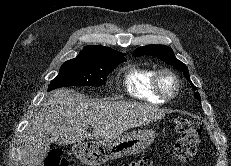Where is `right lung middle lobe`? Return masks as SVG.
Returning <instances> with one entry per match:
<instances>
[{
	"mask_svg": "<svg viewBox=\"0 0 231 166\" xmlns=\"http://www.w3.org/2000/svg\"><path fill=\"white\" fill-rule=\"evenodd\" d=\"M123 56L124 54H116L102 58L76 57L68 60L49 84L48 91L68 86H101L108 74L118 64L126 61Z\"/></svg>",
	"mask_w": 231,
	"mask_h": 166,
	"instance_id": "obj_1",
	"label": "right lung middle lobe"
}]
</instances>
